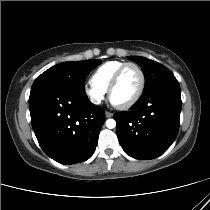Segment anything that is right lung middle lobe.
Listing matches in <instances>:
<instances>
[{"instance_id": "1", "label": "right lung middle lobe", "mask_w": 210, "mask_h": 210, "mask_svg": "<svg viewBox=\"0 0 210 210\" xmlns=\"http://www.w3.org/2000/svg\"><path fill=\"white\" fill-rule=\"evenodd\" d=\"M100 63L99 60H83L57 64L38 76L31 90L48 86H60L84 93L83 83L86 76Z\"/></svg>"}]
</instances>
